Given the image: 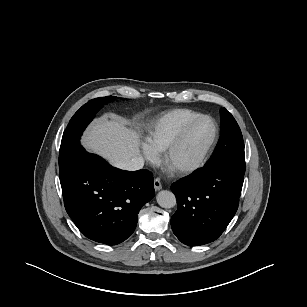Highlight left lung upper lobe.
<instances>
[{"instance_id":"5c2ea615","label":"left lung upper lobe","mask_w":307,"mask_h":307,"mask_svg":"<svg viewBox=\"0 0 307 307\" xmlns=\"http://www.w3.org/2000/svg\"><path fill=\"white\" fill-rule=\"evenodd\" d=\"M221 131L218 144L204 167L225 166L245 173L244 142L234 117L225 108L220 110Z\"/></svg>"}]
</instances>
